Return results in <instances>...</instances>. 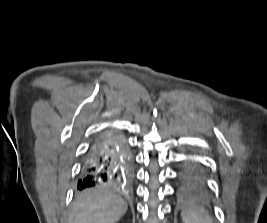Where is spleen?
Here are the masks:
<instances>
[{"instance_id":"1","label":"spleen","mask_w":267,"mask_h":223,"mask_svg":"<svg viewBox=\"0 0 267 223\" xmlns=\"http://www.w3.org/2000/svg\"><path fill=\"white\" fill-rule=\"evenodd\" d=\"M181 217L184 223H212V219L202 208L185 209Z\"/></svg>"}]
</instances>
